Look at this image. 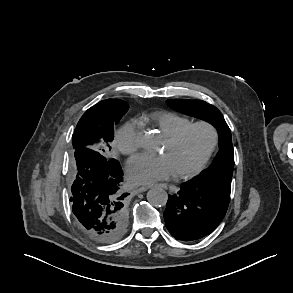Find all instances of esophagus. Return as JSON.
I'll return each mask as SVG.
<instances>
[{"mask_svg":"<svg viewBox=\"0 0 293 293\" xmlns=\"http://www.w3.org/2000/svg\"><path fill=\"white\" fill-rule=\"evenodd\" d=\"M159 187L163 188V189H167V185L166 184H159ZM152 186H143L138 188L136 191L137 193H141V192H145L147 191L149 188H151Z\"/></svg>","mask_w":293,"mask_h":293,"instance_id":"obj_1","label":"esophagus"}]
</instances>
